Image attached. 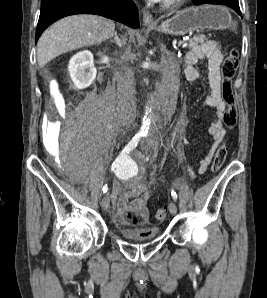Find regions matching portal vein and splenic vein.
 <instances>
[{
    "instance_id": "1",
    "label": "portal vein and splenic vein",
    "mask_w": 267,
    "mask_h": 298,
    "mask_svg": "<svg viewBox=\"0 0 267 298\" xmlns=\"http://www.w3.org/2000/svg\"><path fill=\"white\" fill-rule=\"evenodd\" d=\"M187 46H188V43L187 42H185V43L182 44V48H185Z\"/></svg>"
}]
</instances>
